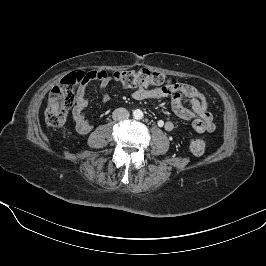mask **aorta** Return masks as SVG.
I'll return each instance as SVG.
<instances>
[{
  "label": "aorta",
  "instance_id": "aorta-1",
  "mask_svg": "<svg viewBox=\"0 0 266 266\" xmlns=\"http://www.w3.org/2000/svg\"><path fill=\"white\" fill-rule=\"evenodd\" d=\"M133 116L135 119H142L143 118V112L140 109L134 110Z\"/></svg>",
  "mask_w": 266,
  "mask_h": 266
}]
</instances>
